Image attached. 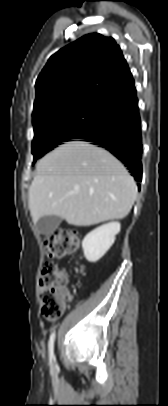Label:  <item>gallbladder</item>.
Returning <instances> with one entry per match:
<instances>
[{"instance_id":"gallbladder-1","label":"gallbladder","mask_w":168,"mask_h":406,"mask_svg":"<svg viewBox=\"0 0 168 406\" xmlns=\"http://www.w3.org/2000/svg\"><path fill=\"white\" fill-rule=\"evenodd\" d=\"M61 222L62 219L60 217L54 215H47L42 216L38 220L36 227L41 234L48 235L52 233L54 230H56Z\"/></svg>"}]
</instances>
